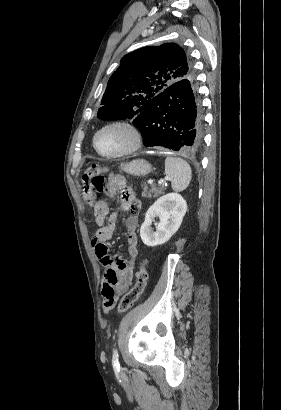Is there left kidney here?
I'll return each mask as SVG.
<instances>
[{
	"label": "left kidney",
	"mask_w": 281,
	"mask_h": 410,
	"mask_svg": "<svg viewBox=\"0 0 281 410\" xmlns=\"http://www.w3.org/2000/svg\"><path fill=\"white\" fill-rule=\"evenodd\" d=\"M187 211V203L178 193L163 195L147 210L145 220L140 228V237L149 247H155L167 242L179 229ZM155 217L160 222L153 231L152 221Z\"/></svg>",
	"instance_id": "left-kidney-1"
}]
</instances>
